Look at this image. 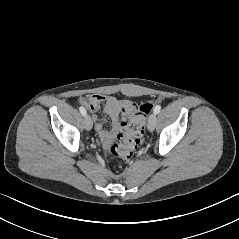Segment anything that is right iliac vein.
<instances>
[{
	"mask_svg": "<svg viewBox=\"0 0 239 239\" xmlns=\"http://www.w3.org/2000/svg\"><path fill=\"white\" fill-rule=\"evenodd\" d=\"M92 120L90 118L89 115H86L85 118H84V128L88 131H90L92 129Z\"/></svg>",
	"mask_w": 239,
	"mask_h": 239,
	"instance_id": "right-iliac-vein-1",
	"label": "right iliac vein"
}]
</instances>
